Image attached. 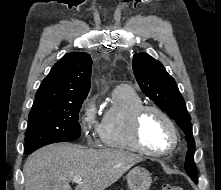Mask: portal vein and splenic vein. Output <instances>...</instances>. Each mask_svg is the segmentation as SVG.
<instances>
[{
	"label": "portal vein and splenic vein",
	"instance_id": "1",
	"mask_svg": "<svg viewBox=\"0 0 221 190\" xmlns=\"http://www.w3.org/2000/svg\"><path fill=\"white\" fill-rule=\"evenodd\" d=\"M81 180H82V179H81L80 177H76V176L73 177V179H72V181H73V182H76V183H81Z\"/></svg>",
	"mask_w": 221,
	"mask_h": 190
}]
</instances>
